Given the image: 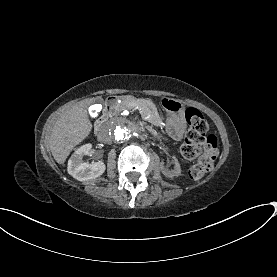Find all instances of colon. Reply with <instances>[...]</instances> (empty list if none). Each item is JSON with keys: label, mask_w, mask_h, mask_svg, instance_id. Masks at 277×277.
Masks as SVG:
<instances>
[{"label": "colon", "mask_w": 277, "mask_h": 277, "mask_svg": "<svg viewBox=\"0 0 277 277\" xmlns=\"http://www.w3.org/2000/svg\"><path fill=\"white\" fill-rule=\"evenodd\" d=\"M185 120L188 131L180 154L185 161H194L189 173L193 179L198 180L210 170L214 162L217 138L207 134L208 121L200 111L188 108Z\"/></svg>", "instance_id": "colon-1"}]
</instances>
